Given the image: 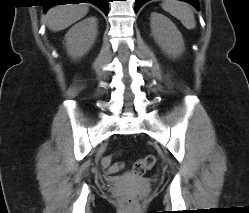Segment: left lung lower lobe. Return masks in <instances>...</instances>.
Segmentation results:
<instances>
[{
  "label": "left lung lower lobe",
  "mask_w": 249,
  "mask_h": 213,
  "mask_svg": "<svg viewBox=\"0 0 249 213\" xmlns=\"http://www.w3.org/2000/svg\"><path fill=\"white\" fill-rule=\"evenodd\" d=\"M149 0H136V3H135V12H137L139 10V8ZM183 1H186V2H189L191 3L192 5H194L197 9H199V6H198V0H183Z\"/></svg>",
  "instance_id": "0a47b994"
}]
</instances>
